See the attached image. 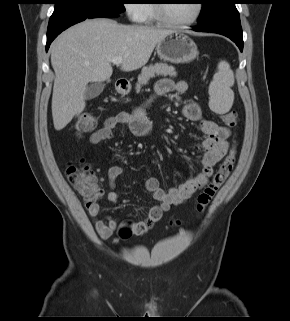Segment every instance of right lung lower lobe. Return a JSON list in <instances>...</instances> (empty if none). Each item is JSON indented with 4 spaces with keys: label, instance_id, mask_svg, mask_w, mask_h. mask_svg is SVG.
Segmentation results:
<instances>
[{
    "label": "right lung lower lobe",
    "instance_id": "1",
    "mask_svg": "<svg viewBox=\"0 0 290 321\" xmlns=\"http://www.w3.org/2000/svg\"><path fill=\"white\" fill-rule=\"evenodd\" d=\"M117 15H109V16H101L112 18L116 17ZM87 18H96V17H64L53 19L49 21L48 30H47V44H46V51L48 50L51 42L65 29L68 27L84 21Z\"/></svg>",
    "mask_w": 290,
    "mask_h": 321
}]
</instances>
